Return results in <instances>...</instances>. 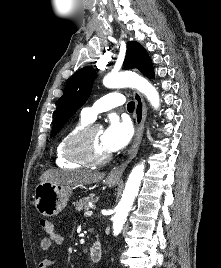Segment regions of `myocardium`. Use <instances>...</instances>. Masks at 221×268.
I'll return each mask as SVG.
<instances>
[{"label": "myocardium", "mask_w": 221, "mask_h": 268, "mask_svg": "<svg viewBox=\"0 0 221 268\" xmlns=\"http://www.w3.org/2000/svg\"><path fill=\"white\" fill-rule=\"evenodd\" d=\"M100 128L96 124H88L74 133L66 144L68 157L86 165H101L111 159V154L98 156L91 148L90 138L94 130Z\"/></svg>", "instance_id": "myocardium-1"}]
</instances>
